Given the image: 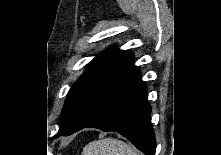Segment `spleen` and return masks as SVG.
Wrapping results in <instances>:
<instances>
[{"instance_id": "3e777b00", "label": "spleen", "mask_w": 221, "mask_h": 155, "mask_svg": "<svg viewBox=\"0 0 221 155\" xmlns=\"http://www.w3.org/2000/svg\"><path fill=\"white\" fill-rule=\"evenodd\" d=\"M82 155H139V152L121 140L104 138L85 146Z\"/></svg>"}]
</instances>
